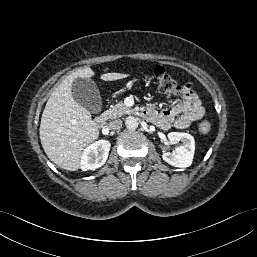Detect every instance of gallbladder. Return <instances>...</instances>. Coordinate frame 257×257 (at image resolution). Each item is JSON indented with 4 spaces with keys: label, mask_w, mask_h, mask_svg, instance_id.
I'll list each match as a JSON object with an SVG mask.
<instances>
[{
    "label": "gallbladder",
    "mask_w": 257,
    "mask_h": 257,
    "mask_svg": "<svg viewBox=\"0 0 257 257\" xmlns=\"http://www.w3.org/2000/svg\"><path fill=\"white\" fill-rule=\"evenodd\" d=\"M72 95L74 100L93 114L102 110L100 92L93 81L77 79L73 83Z\"/></svg>",
    "instance_id": "bac80fb5"
}]
</instances>
